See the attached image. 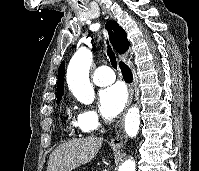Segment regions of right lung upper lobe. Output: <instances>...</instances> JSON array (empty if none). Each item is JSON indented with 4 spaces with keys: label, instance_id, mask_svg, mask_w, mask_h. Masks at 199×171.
I'll return each instance as SVG.
<instances>
[{
    "label": "right lung upper lobe",
    "instance_id": "obj_1",
    "mask_svg": "<svg viewBox=\"0 0 199 171\" xmlns=\"http://www.w3.org/2000/svg\"><path fill=\"white\" fill-rule=\"evenodd\" d=\"M106 29L109 34V40L113 48L118 53H125L129 48V41L126 32L115 21H108ZM64 62L61 63L58 69V83H57V99H61L64 93Z\"/></svg>",
    "mask_w": 199,
    "mask_h": 171
}]
</instances>
